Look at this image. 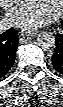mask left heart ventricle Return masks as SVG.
I'll list each match as a JSON object with an SVG mask.
<instances>
[{"label": "left heart ventricle", "mask_w": 63, "mask_h": 107, "mask_svg": "<svg viewBox=\"0 0 63 107\" xmlns=\"http://www.w3.org/2000/svg\"><path fill=\"white\" fill-rule=\"evenodd\" d=\"M41 3L50 13H53L59 5V0H40Z\"/></svg>", "instance_id": "obj_1"}]
</instances>
